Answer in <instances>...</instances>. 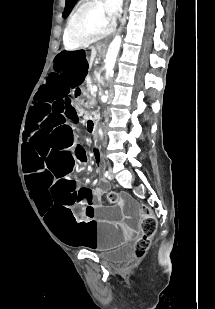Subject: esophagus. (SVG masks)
Wrapping results in <instances>:
<instances>
[{"instance_id":"34e87169","label":"esophagus","mask_w":215,"mask_h":309,"mask_svg":"<svg viewBox=\"0 0 215 309\" xmlns=\"http://www.w3.org/2000/svg\"><path fill=\"white\" fill-rule=\"evenodd\" d=\"M126 8H127V2H126ZM126 8H125L124 16H123V21H125V19H126ZM123 24L124 23H121V28H122ZM106 43L107 42H104L103 44H99V46L104 47V46H106Z\"/></svg>"}]
</instances>
